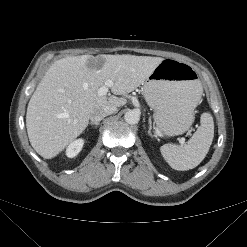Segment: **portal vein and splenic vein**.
<instances>
[{"instance_id":"1","label":"portal vein and splenic vein","mask_w":247,"mask_h":247,"mask_svg":"<svg viewBox=\"0 0 247 247\" xmlns=\"http://www.w3.org/2000/svg\"><path fill=\"white\" fill-rule=\"evenodd\" d=\"M113 85V82L111 80H107L105 81L104 85H102L99 89H98V94L100 96L106 95L109 91V88ZM181 144H184V139H180L179 141Z\"/></svg>"}]
</instances>
